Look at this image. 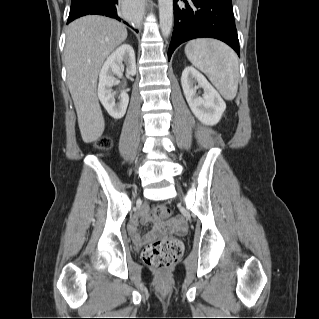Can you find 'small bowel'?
<instances>
[{
	"label": "small bowel",
	"mask_w": 319,
	"mask_h": 319,
	"mask_svg": "<svg viewBox=\"0 0 319 319\" xmlns=\"http://www.w3.org/2000/svg\"><path fill=\"white\" fill-rule=\"evenodd\" d=\"M138 216L142 217L141 220L143 222H151L155 228V233L145 240H150V239L154 238L155 236H157V234H159L160 232H162L164 230V224L162 222L157 221V220H151L147 216V206H146V204H143L138 209L137 213L133 216V218L131 219L129 226H128L130 233L134 237L138 238V236H139ZM185 229L186 228H185L184 220L180 216H175L174 218L169 220V222L167 223V230L169 232L181 234V233L185 232Z\"/></svg>",
	"instance_id": "1"
}]
</instances>
